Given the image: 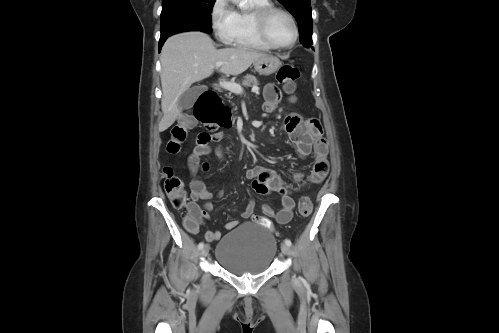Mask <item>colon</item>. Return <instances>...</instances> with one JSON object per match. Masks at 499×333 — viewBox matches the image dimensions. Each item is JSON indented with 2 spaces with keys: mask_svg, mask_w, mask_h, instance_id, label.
<instances>
[{
  "mask_svg": "<svg viewBox=\"0 0 499 333\" xmlns=\"http://www.w3.org/2000/svg\"><path fill=\"white\" fill-rule=\"evenodd\" d=\"M299 69L294 64H284L277 72V80L283 84L287 93L292 94L295 91L296 81L299 78ZM212 102L215 108V116L210 122L205 125L215 130L220 126L226 125L230 120V111L226 107L219 96L214 93ZM196 125V119L192 117H184L181 121L175 124L170 132V137L166 145V150L170 154H176L180 151L182 144L188 136V132ZM164 178V189L175 207L181 208L186 205V193L184 184L170 166H166L162 172ZM312 211V201L309 197H302L299 201L298 212L302 217H307ZM201 212L198 208L189 207L187 205V216L185 225L189 230L198 227V220ZM252 221L260 224L266 229L273 230V223L267 217L253 215Z\"/></svg>",
  "mask_w": 499,
  "mask_h": 333,
  "instance_id": "obj_1",
  "label": "colon"
}]
</instances>
